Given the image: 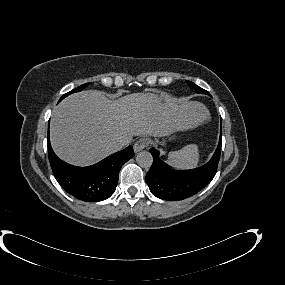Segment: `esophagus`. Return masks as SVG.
Segmentation results:
<instances>
[{
    "label": "esophagus",
    "instance_id": "34e87169",
    "mask_svg": "<svg viewBox=\"0 0 285 285\" xmlns=\"http://www.w3.org/2000/svg\"><path fill=\"white\" fill-rule=\"evenodd\" d=\"M148 146V139L147 138H141L138 141L135 142L133 148L135 153L140 152L144 148Z\"/></svg>",
    "mask_w": 285,
    "mask_h": 285
}]
</instances>
